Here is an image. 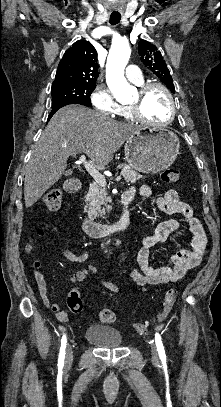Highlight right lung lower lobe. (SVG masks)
<instances>
[{
  "mask_svg": "<svg viewBox=\"0 0 221 407\" xmlns=\"http://www.w3.org/2000/svg\"><path fill=\"white\" fill-rule=\"evenodd\" d=\"M65 105H68V104H63V105H59V106L53 107L51 113L49 114L48 120H50V118L53 116V114H54L58 109H60L61 107L65 106Z\"/></svg>",
  "mask_w": 221,
  "mask_h": 407,
  "instance_id": "1",
  "label": "right lung lower lobe"
}]
</instances>
